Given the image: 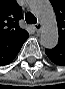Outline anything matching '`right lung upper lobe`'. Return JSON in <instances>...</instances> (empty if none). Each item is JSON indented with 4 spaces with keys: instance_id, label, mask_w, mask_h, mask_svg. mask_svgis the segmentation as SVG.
I'll use <instances>...</instances> for the list:
<instances>
[{
    "instance_id": "cb5924a9",
    "label": "right lung upper lobe",
    "mask_w": 65,
    "mask_h": 89,
    "mask_svg": "<svg viewBox=\"0 0 65 89\" xmlns=\"http://www.w3.org/2000/svg\"><path fill=\"white\" fill-rule=\"evenodd\" d=\"M21 18L22 8L15 0H0V51H11L29 37L18 25Z\"/></svg>"
}]
</instances>
